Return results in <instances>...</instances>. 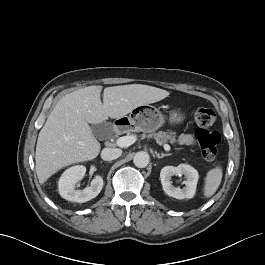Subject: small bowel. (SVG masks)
I'll use <instances>...</instances> for the list:
<instances>
[{"label": "small bowel", "instance_id": "c3829d8e", "mask_svg": "<svg viewBox=\"0 0 265 265\" xmlns=\"http://www.w3.org/2000/svg\"><path fill=\"white\" fill-rule=\"evenodd\" d=\"M179 143L181 145H193L194 144V138L190 134H183L178 139Z\"/></svg>", "mask_w": 265, "mask_h": 265}]
</instances>
